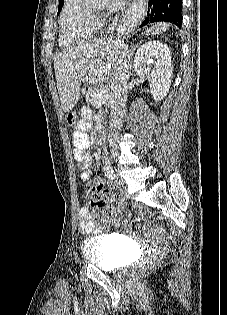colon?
Masks as SVG:
<instances>
[{"mask_svg":"<svg viewBox=\"0 0 227 315\" xmlns=\"http://www.w3.org/2000/svg\"><path fill=\"white\" fill-rule=\"evenodd\" d=\"M66 120L69 126H75L77 124L76 113L68 112L66 115ZM111 199L112 197L109 191L98 186L92 188L89 195L90 204L94 209L95 217L99 219L100 223H102L104 226H107L111 220V215L113 212V208L110 205ZM150 268L151 262L149 260L140 262L133 270V277H141Z\"/></svg>","mask_w":227,"mask_h":315,"instance_id":"colon-1","label":"colon"}]
</instances>
